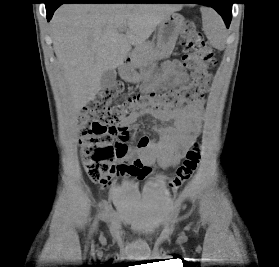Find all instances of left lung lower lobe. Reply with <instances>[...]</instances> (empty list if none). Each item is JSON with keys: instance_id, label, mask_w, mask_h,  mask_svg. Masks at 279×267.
I'll use <instances>...</instances> for the list:
<instances>
[{"instance_id": "left-lung-lower-lobe-1", "label": "left lung lower lobe", "mask_w": 279, "mask_h": 267, "mask_svg": "<svg viewBox=\"0 0 279 267\" xmlns=\"http://www.w3.org/2000/svg\"><path fill=\"white\" fill-rule=\"evenodd\" d=\"M154 3H201L214 8L223 18L226 27L232 18L233 0H157Z\"/></svg>"}]
</instances>
